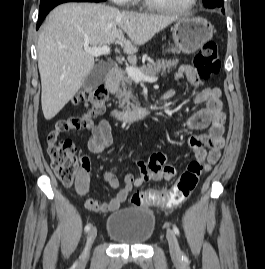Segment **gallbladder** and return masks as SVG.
<instances>
[{"label": "gallbladder", "instance_id": "1", "mask_svg": "<svg viewBox=\"0 0 265 269\" xmlns=\"http://www.w3.org/2000/svg\"><path fill=\"white\" fill-rule=\"evenodd\" d=\"M107 72L108 67L102 63H98L84 79L82 86L83 89H94L97 85H99L105 80Z\"/></svg>", "mask_w": 265, "mask_h": 269}]
</instances>
